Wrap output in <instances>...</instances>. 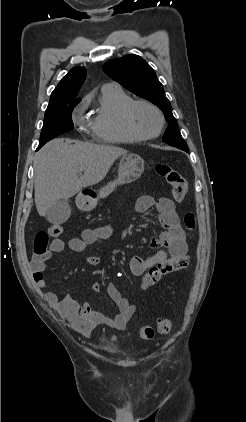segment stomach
Masks as SVG:
<instances>
[{"mask_svg": "<svg viewBox=\"0 0 246 422\" xmlns=\"http://www.w3.org/2000/svg\"><path fill=\"white\" fill-rule=\"evenodd\" d=\"M144 171V160L137 154L131 153L121 158L118 168V177L107 183L96 193V196L87 194H79L77 204L82 210H92L96 207L97 202L107 197L118 185L129 184L136 181Z\"/></svg>", "mask_w": 246, "mask_h": 422, "instance_id": "obj_1", "label": "stomach"}]
</instances>
